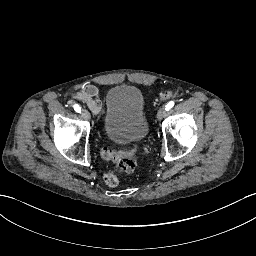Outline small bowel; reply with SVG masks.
Here are the masks:
<instances>
[{"label": "small bowel", "instance_id": "small-bowel-1", "mask_svg": "<svg viewBox=\"0 0 256 256\" xmlns=\"http://www.w3.org/2000/svg\"><path fill=\"white\" fill-rule=\"evenodd\" d=\"M74 98L84 101L90 110L95 114H102L104 112L101 93L94 85H85L81 87L75 93Z\"/></svg>", "mask_w": 256, "mask_h": 256}]
</instances>
